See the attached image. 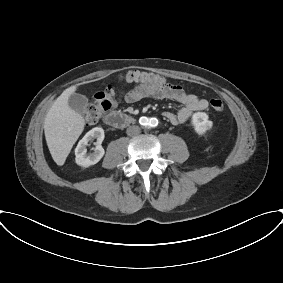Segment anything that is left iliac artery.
Wrapping results in <instances>:
<instances>
[{
  "mask_svg": "<svg viewBox=\"0 0 283 283\" xmlns=\"http://www.w3.org/2000/svg\"><path fill=\"white\" fill-rule=\"evenodd\" d=\"M157 123H158V120L156 118H151L150 119V122H149L150 126H156Z\"/></svg>",
  "mask_w": 283,
  "mask_h": 283,
  "instance_id": "obj_1",
  "label": "left iliac artery"
}]
</instances>
